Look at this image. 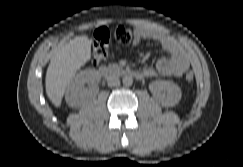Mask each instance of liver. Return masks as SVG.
Wrapping results in <instances>:
<instances>
[{"label": "liver", "mask_w": 243, "mask_h": 167, "mask_svg": "<svg viewBox=\"0 0 243 167\" xmlns=\"http://www.w3.org/2000/svg\"><path fill=\"white\" fill-rule=\"evenodd\" d=\"M91 44L92 40L87 35H82L54 52L45 78L46 93L54 106H61L66 87L77 70L90 60Z\"/></svg>", "instance_id": "liver-1"}]
</instances>
